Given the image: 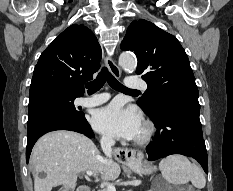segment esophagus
Instances as JSON below:
<instances>
[{"label":"esophagus","instance_id":"34e87169","mask_svg":"<svg viewBox=\"0 0 233 191\" xmlns=\"http://www.w3.org/2000/svg\"><path fill=\"white\" fill-rule=\"evenodd\" d=\"M105 62L110 73L115 78H120L121 70L119 66L115 63V61L110 56H107L105 58ZM115 155L118 158V162H120V164H127V162L137 163L140 162L143 157L142 152L127 148H116Z\"/></svg>","mask_w":233,"mask_h":191}]
</instances>
